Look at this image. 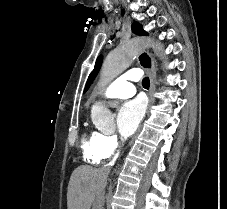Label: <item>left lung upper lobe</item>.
Returning a JSON list of instances; mask_svg holds the SVG:
<instances>
[{"mask_svg": "<svg viewBox=\"0 0 227 209\" xmlns=\"http://www.w3.org/2000/svg\"><path fill=\"white\" fill-rule=\"evenodd\" d=\"M132 31L137 34V35H148V33L142 29V26L137 23V22H134L132 24ZM102 60H103V57L102 55H100L97 60H96V63H95V67H94V70L91 72V74L89 75L88 77V80H87V83H86V86H85V89H84V92H86L90 86V84L92 83V81L94 80V78L96 77L100 67H101V64H102Z\"/></svg>", "mask_w": 227, "mask_h": 209, "instance_id": "left-lung-upper-lobe-1", "label": "left lung upper lobe"}]
</instances>
